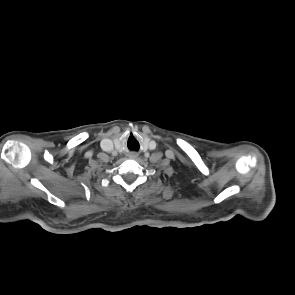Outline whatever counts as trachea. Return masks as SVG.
<instances>
[{"label": "trachea", "instance_id": "1", "mask_svg": "<svg viewBox=\"0 0 295 295\" xmlns=\"http://www.w3.org/2000/svg\"><path fill=\"white\" fill-rule=\"evenodd\" d=\"M136 146H137L136 139L133 136H131L130 139L128 140V148L130 150H134Z\"/></svg>", "mask_w": 295, "mask_h": 295}]
</instances>
